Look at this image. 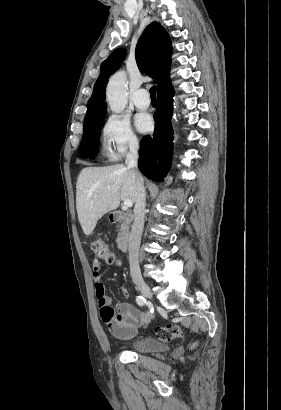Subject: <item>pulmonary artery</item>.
Masks as SVG:
<instances>
[{
    "mask_svg": "<svg viewBox=\"0 0 281 410\" xmlns=\"http://www.w3.org/2000/svg\"><path fill=\"white\" fill-rule=\"evenodd\" d=\"M133 103L140 110H145L150 106V99L146 89H139L133 96Z\"/></svg>",
    "mask_w": 281,
    "mask_h": 410,
    "instance_id": "e3ab8cb5",
    "label": "pulmonary artery"
}]
</instances>
